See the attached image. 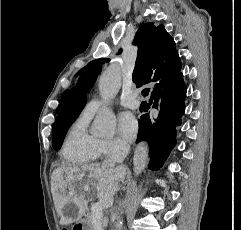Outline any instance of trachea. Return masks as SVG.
I'll use <instances>...</instances> for the list:
<instances>
[{"label": "trachea", "mask_w": 241, "mask_h": 230, "mask_svg": "<svg viewBox=\"0 0 241 230\" xmlns=\"http://www.w3.org/2000/svg\"><path fill=\"white\" fill-rule=\"evenodd\" d=\"M148 93H149V89H144V90L142 91V95H143V96H147Z\"/></svg>", "instance_id": "obj_1"}]
</instances>
